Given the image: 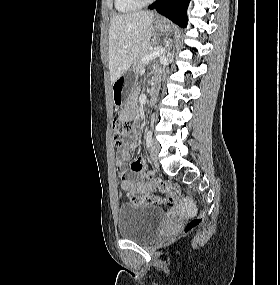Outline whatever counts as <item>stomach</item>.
Returning a JSON list of instances; mask_svg holds the SVG:
<instances>
[{
    "instance_id": "obj_1",
    "label": "stomach",
    "mask_w": 280,
    "mask_h": 285,
    "mask_svg": "<svg viewBox=\"0 0 280 285\" xmlns=\"http://www.w3.org/2000/svg\"><path fill=\"white\" fill-rule=\"evenodd\" d=\"M153 29L159 32H165L169 29V24L167 21L161 19L156 20ZM132 83V77L129 72L124 73L120 76L112 85V96L113 103L115 106L119 107L124 105L127 101V89Z\"/></svg>"
}]
</instances>
